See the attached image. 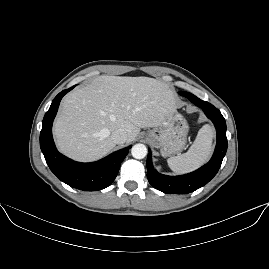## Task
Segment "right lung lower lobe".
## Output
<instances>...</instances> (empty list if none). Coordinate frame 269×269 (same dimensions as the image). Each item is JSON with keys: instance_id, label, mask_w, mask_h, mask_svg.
I'll list each match as a JSON object with an SVG mask.
<instances>
[{"instance_id": "right-lung-lower-lobe-1", "label": "right lung lower lobe", "mask_w": 269, "mask_h": 269, "mask_svg": "<svg viewBox=\"0 0 269 269\" xmlns=\"http://www.w3.org/2000/svg\"><path fill=\"white\" fill-rule=\"evenodd\" d=\"M73 87L60 92L46 112L40 133V147L51 171L67 185L84 191H97L108 187L116 178L120 165L131 146L112 153L93 163L75 162L60 154L52 137V123L62 97Z\"/></svg>"}]
</instances>
